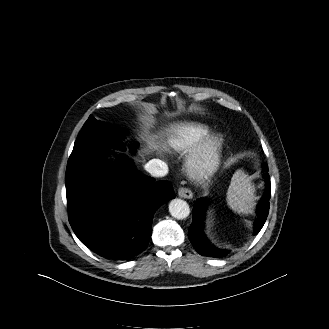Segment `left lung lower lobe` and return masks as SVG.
Masks as SVG:
<instances>
[{"label":"left lung lower lobe","instance_id":"left-lung-lower-lobe-1","mask_svg":"<svg viewBox=\"0 0 329 329\" xmlns=\"http://www.w3.org/2000/svg\"><path fill=\"white\" fill-rule=\"evenodd\" d=\"M267 171V168L264 169ZM266 178L267 188L265 195L263 196L260 204L258 205V219L255 222V234H257L263 227L267 215L269 212V199L271 196V184L269 181L268 173L264 174ZM205 211H206V203L204 199H198L195 202L193 208V221L188 231L189 240L191 241L192 245L194 246L195 250L203 255L215 258H221L226 256L229 251H223L218 248H215L211 245L204 233V219H205Z\"/></svg>","mask_w":329,"mask_h":329}]
</instances>
